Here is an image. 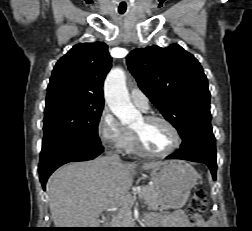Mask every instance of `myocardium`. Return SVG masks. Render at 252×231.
<instances>
[{"label":"myocardium","instance_id":"f54148a6","mask_svg":"<svg viewBox=\"0 0 252 231\" xmlns=\"http://www.w3.org/2000/svg\"><path fill=\"white\" fill-rule=\"evenodd\" d=\"M143 120L146 123L155 122V121H159V122L164 123L171 130L173 137H174V143L165 152H162V153L152 152L145 147V145L143 144V141L141 139V136L137 132L132 130L131 131L132 140H133V144H134V147L137 150V152H139L142 155L149 156V157L164 158V157H167V156L173 154L180 147L181 135H180L177 127L170 120H168L167 118H165L163 116H159V115H146L143 117Z\"/></svg>","mask_w":252,"mask_h":231}]
</instances>
